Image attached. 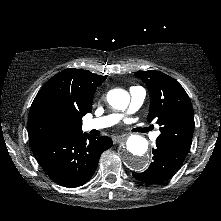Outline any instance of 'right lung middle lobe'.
I'll return each instance as SVG.
<instances>
[{"mask_svg": "<svg viewBox=\"0 0 221 221\" xmlns=\"http://www.w3.org/2000/svg\"><path fill=\"white\" fill-rule=\"evenodd\" d=\"M63 135L62 130L54 123L50 124L42 133L45 139L54 138Z\"/></svg>", "mask_w": 221, "mask_h": 221, "instance_id": "right-lung-middle-lobe-1", "label": "right lung middle lobe"}]
</instances>
